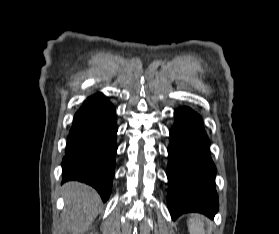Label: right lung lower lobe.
<instances>
[{"label":"right lung lower lobe","mask_w":279,"mask_h":234,"mask_svg":"<svg viewBox=\"0 0 279 234\" xmlns=\"http://www.w3.org/2000/svg\"><path fill=\"white\" fill-rule=\"evenodd\" d=\"M114 106L101 94L87 99L76 112L63 158V182L93 186L105 202L111 193L117 150Z\"/></svg>","instance_id":"right-lung-lower-lobe-1"}]
</instances>
